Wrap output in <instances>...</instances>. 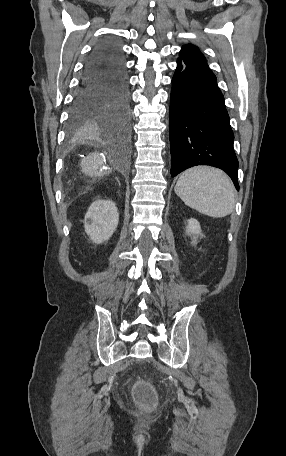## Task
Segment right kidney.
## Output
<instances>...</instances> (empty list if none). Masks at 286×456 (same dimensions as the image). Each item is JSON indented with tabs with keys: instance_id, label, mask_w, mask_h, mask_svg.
Segmentation results:
<instances>
[{
	"instance_id": "right-kidney-1",
	"label": "right kidney",
	"mask_w": 286,
	"mask_h": 456,
	"mask_svg": "<svg viewBox=\"0 0 286 456\" xmlns=\"http://www.w3.org/2000/svg\"><path fill=\"white\" fill-rule=\"evenodd\" d=\"M119 222L116 204L111 200L97 199L88 209L84 218L86 234L93 243L108 241Z\"/></svg>"
}]
</instances>
